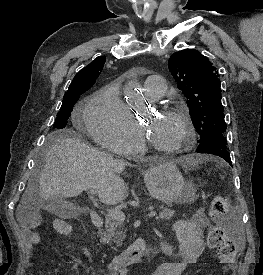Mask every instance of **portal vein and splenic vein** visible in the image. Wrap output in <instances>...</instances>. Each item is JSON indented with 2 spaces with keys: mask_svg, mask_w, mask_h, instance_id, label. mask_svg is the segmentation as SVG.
<instances>
[{
  "mask_svg": "<svg viewBox=\"0 0 263 275\" xmlns=\"http://www.w3.org/2000/svg\"><path fill=\"white\" fill-rule=\"evenodd\" d=\"M95 191L90 190L89 198L94 200ZM108 215H110L112 218H114L117 221L123 222L125 220V214L121 210L116 209H107ZM157 215L156 211L151 210L148 214V217H154Z\"/></svg>",
  "mask_w": 263,
  "mask_h": 275,
  "instance_id": "1",
  "label": "portal vein and splenic vein"
}]
</instances>
